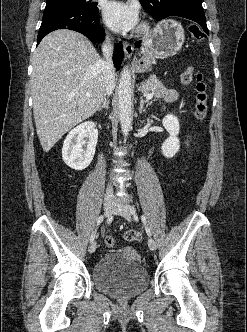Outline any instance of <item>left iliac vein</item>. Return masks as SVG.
I'll use <instances>...</instances> for the list:
<instances>
[{
  "instance_id": "4c4485c4",
  "label": "left iliac vein",
  "mask_w": 247,
  "mask_h": 332,
  "mask_svg": "<svg viewBox=\"0 0 247 332\" xmlns=\"http://www.w3.org/2000/svg\"><path fill=\"white\" fill-rule=\"evenodd\" d=\"M113 212L127 220H130L132 216H136V209L129 204H115ZM148 246L152 251L157 248L155 240L151 237L148 238Z\"/></svg>"
}]
</instances>
